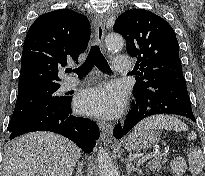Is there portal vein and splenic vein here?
Instances as JSON below:
<instances>
[{"label": "portal vein and splenic vein", "mask_w": 205, "mask_h": 176, "mask_svg": "<svg viewBox=\"0 0 205 176\" xmlns=\"http://www.w3.org/2000/svg\"><path fill=\"white\" fill-rule=\"evenodd\" d=\"M168 150L165 151V153H167ZM156 155H159V151H154V152H151L145 156H142L139 160H138V163H137V166H140L142 165L144 162H146L147 160H149L150 158L156 156Z\"/></svg>", "instance_id": "1"}]
</instances>
